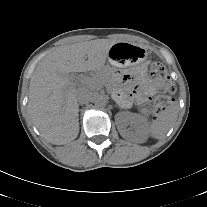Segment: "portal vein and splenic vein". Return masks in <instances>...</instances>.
<instances>
[{
  "label": "portal vein and splenic vein",
  "instance_id": "18ae733b",
  "mask_svg": "<svg viewBox=\"0 0 207 207\" xmlns=\"http://www.w3.org/2000/svg\"><path fill=\"white\" fill-rule=\"evenodd\" d=\"M81 82L87 84L88 86L91 85V79L90 78H82Z\"/></svg>",
  "mask_w": 207,
  "mask_h": 207
}]
</instances>
